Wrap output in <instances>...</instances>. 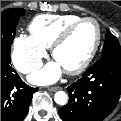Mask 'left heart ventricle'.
Here are the masks:
<instances>
[{
    "instance_id": "obj_1",
    "label": "left heart ventricle",
    "mask_w": 121,
    "mask_h": 121,
    "mask_svg": "<svg viewBox=\"0 0 121 121\" xmlns=\"http://www.w3.org/2000/svg\"><path fill=\"white\" fill-rule=\"evenodd\" d=\"M96 40V28L91 22L79 25L68 40L56 51L55 61L63 70L78 66L87 56Z\"/></svg>"
}]
</instances>
